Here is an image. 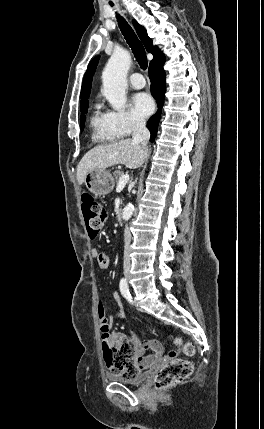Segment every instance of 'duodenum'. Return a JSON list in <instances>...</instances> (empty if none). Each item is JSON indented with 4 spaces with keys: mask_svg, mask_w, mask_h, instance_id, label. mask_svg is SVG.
<instances>
[{
    "mask_svg": "<svg viewBox=\"0 0 264 429\" xmlns=\"http://www.w3.org/2000/svg\"><path fill=\"white\" fill-rule=\"evenodd\" d=\"M117 218H118V220H119L120 222H122V221H123L122 213H118V214H117Z\"/></svg>",
    "mask_w": 264,
    "mask_h": 429,
    "instance_id": "obj_1",
    "label": "duodenum"
}]
</instances>
